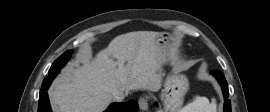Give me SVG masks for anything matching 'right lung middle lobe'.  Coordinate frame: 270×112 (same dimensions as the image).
Here are the masks:
<instances>
[{"instance_id":"1","label":"right lung middle lobe","mask_w":270,"mask_h":112,"mask_svg":"<svg viewBox=\"0 0 270 112\" xmlns=\"http://www.w3.org/2000/svg\"><path fill=\"white\" fill-rule=\"evenodd\" d=\"M72 53H73L72 50H68L65 53H63L59 58H57L54 61L53 65L51 66V68H50V70L48 72V76L55 77L60 72V69L70 59Z\"/></svg>"}]
</instances>
